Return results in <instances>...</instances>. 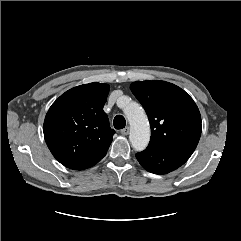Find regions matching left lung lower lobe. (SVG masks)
<instances>
[{
    "instance_id": "0a47b994",
    "label": "left lung lower lobe",
    "mask_w": 241,
    "mask_h": 241,
    "mask_svg": "<svg viewBox=\"0 0 241 241\" xmlns=\"http://www.w3.org/2000/svg\"><path fill=\"white\" fill-rule=\"evenodd\" d=\"M189 149L161 147L149 144L143 152L137 153L139 163L154 174H167L182 166L192 155Z\"/></svg>"
}]
</instances>
